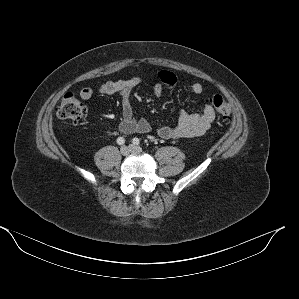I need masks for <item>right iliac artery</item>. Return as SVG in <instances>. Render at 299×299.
<instances>
[{
  "mask_svg": "<svg viewBox=\"0 0 299 299\" xmlns=\"http://www.w3.org/2000/svg\"><path fill=\"white\" fill-rule=\"evenodd\" d=\"M117 143H118L119 145L124 144V143H125L124 138H123V137H118V138H117Z\"/></svg>",
  "mask_w": 299,
  "mask_h": 299,
  "instance_id": "right-iliac-artery-1",
  "label": "right iliac artery"
}]
</instances>
